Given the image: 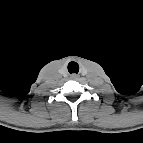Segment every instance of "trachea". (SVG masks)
I'll list each match as a JSON object with an SVG mask.
<instances>
[{
	"mask_svg": "<svg viewBox=\"0 0 143 143\" xmlns=\"http://www.w3.org/2000/svg\"><path fill=\"white\" fill-rule=\"evenodd\" d=\"M68 71H69L70 74H72V73H78L79 72V65L76 62L71 61L68 64Z\"/></svg>",
	"mask_w": 143,
	"mask_h": 143,
	"instance_id": "1",
	"label": "trachea"
}]
</instances>
